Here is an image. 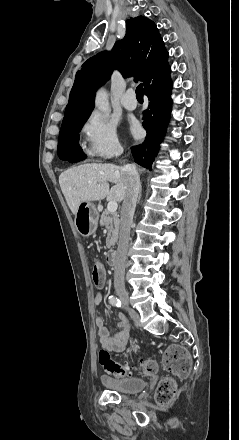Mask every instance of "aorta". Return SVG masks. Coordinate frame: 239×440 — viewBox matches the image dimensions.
Wrapping results in <instances>:
<instances>
[{
	"mask_svg": "<svg viewBox=\"0 0 239 440\" xmlns=\"http://www.w3.org/2000/svg\"><path fill=\"white\" fill-rule=\"evenodd\" d=\"M95 106L100 112H107L109 108V100L105 90H98L96 94Z\"/></svg>",
	"mask_w": 239,
	"mask_h": 440,
	"instance_id": "1",
	"label": "aorta"
}]
</instances>
